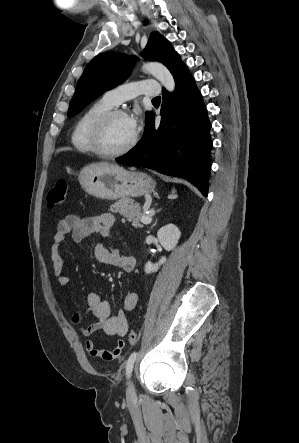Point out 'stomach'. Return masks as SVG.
Wrapping results in <instances>:
<instances>
[{
    "label": "stomach",
    "mask_w": 299,
    "mask_h": 443,
    "mask_svg": "<svg viewBox=\"0 0 299 443\" xmlns=\"http://www.w3.org/2000/svg\"><path fill=\"white\" fill-rule=\"evenodd\" d=\"M79 182L88 194L106 200L140 197L153 192L156 187V182L149 175L110 163L84 167L79 174Z\"/></svg>",
    "instance_id": "0dacf381"
}]
</instances>
